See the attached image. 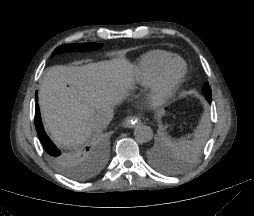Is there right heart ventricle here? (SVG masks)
<instances>
[{"instance_id": "e07e8e85", "label": "right heart ventricle", "mask_w": 254, "mask_h": 216, "mask_svg": "<svg viewBox=\"0 0 254 216\" xmlns=\"http://www.w3.org/2000/svg\"><path fill=\"white\" fill-rule=\"evenodd\" d=\"M171 57V53L163 50H152L143 54L133 67V84L137 87H146L150 85L159 68Z\"/></svg>"}]
</instances>
